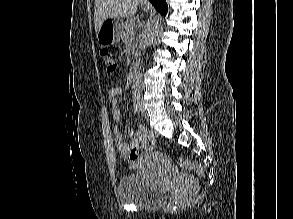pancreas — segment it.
I'll list each match as a JSON object with an SVG mask.
<instances>
[{
	"instance_id": "obj_1",
	"label": "pancreas",
	"mask_w": 293,
	"mask_h": 219,
	"mask_svg": "<svg viewBox=\"0 0 293 219\" xmlns=\"http://www.w3.org/2000/svg\"><path fill=\"white\" fill-rule=\"evenodd\" d=\"M135 32H134V20L129 19L125 24H124V32L122 35V40L123 42H130V40L134 37Z\"/></svg>"
}]
</instances>
